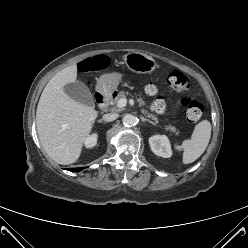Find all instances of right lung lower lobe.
I'll list each match as a JSON object with an SVG mask.
<instances>
[{"instance_id": "98d812e1", "label": "right lung lower lobe", "mask_w": 248, "mask_h": 248, "mask_svg": "<svg viewBox=\"0 0 248 248\" xmlns=\"http://www.w3.org/2000/svg\"><path fill=\"white\" fill-rule=\"evenodd\" d=\"M83 169V167H81V168H69V169H67V170H70V171H72V172H78V171H81Z\"/></svg>"}]
</instances>
